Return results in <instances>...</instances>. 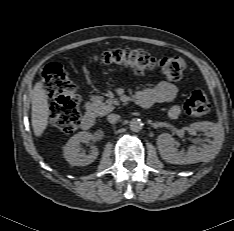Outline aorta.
<instances>
[{
	"mask_svg": "<svg viewBox=\"0 0 234 231\" xmlns=\"http://www.w3.org/2000/svg\"><path fill=\"white\" fill-rule=\"evenodd\" d=\"M129 127L131 131L139 132L143 128V123L140 119L134 118L130 121Z\"/></svg>",
	"mask_w": 234,
	"mask_h": 231,
	"instance_id": "1",
	"label": "aorta"
}]
</instances>
